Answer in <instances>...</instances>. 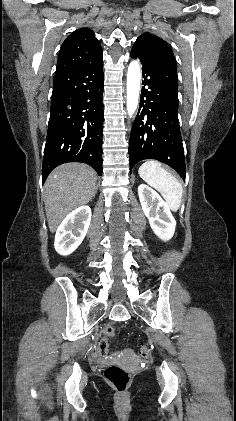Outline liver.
Instances as JSON below:
<instances>
[{
  "mask_svg": "<svg viewBox=\"0 0 236 421\" xmlns=\"http://www.w3.org/2000/svg\"><path fill=\"white\" fill-rule=\"evenodd\" d=\"M97 174L82 162H67L54 168L44 184L48 227L55 233L63 219L77 206H84L95 194Z\"/></svg>",
  "mask_w": 236,
  "mask_h": 421,
  "instance_id": "1",
  "label": "liver"
}]
</instances>
